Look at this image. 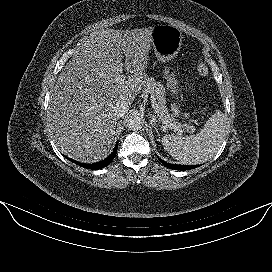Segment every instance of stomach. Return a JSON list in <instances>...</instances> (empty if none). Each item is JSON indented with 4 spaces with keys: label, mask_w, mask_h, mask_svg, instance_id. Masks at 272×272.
<instances>
[{
    "label": "stomach",
    "mask_w": 272,
    "mask_h": 272,
    "mask_svg": "<svg viewBox=\"0 0 272 272\" xmlns=\"http://www.w3.org/2000/svg\"><path fill=\"white\" fill-rule=\"evenodd\" d=\"M152 46L158 61L169 62L179 53L182 45V34L174 26L158 25L152 33Z\"/></svg>",
    "instance_id": "obj_1"
}]
</instances>
